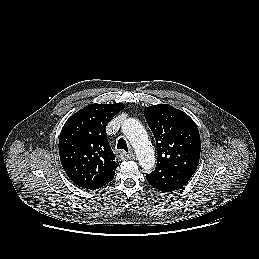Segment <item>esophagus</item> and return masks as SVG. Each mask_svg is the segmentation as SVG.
<instances>
[{
	"instance_id": "34e87169",
	"label": "esophagus",
	"mask_w": 259,
	"mask_h": 259,
	"mask_svg": "<svg viewBox=\"0 0 259 259\" xmlns=\"http://www.w3.org/2000/svg\"><path fill=\"white\" fill-rule=\"evenodd\" d=\"M123 157L127 160H134L135 154L133 152L123 153Z\"/></svg>"
}]
</instances>
